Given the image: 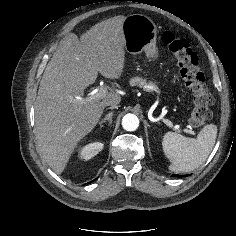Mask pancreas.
<instances>
[{
    "mask_svg": "<svg viewBox=\"0 0 236 236\" xmlns=\"http://www.w3.org/2000/svg\"><path fill=\"white\" fill-rule=\"evenodd\" d=\"M147 84L154 85L152 82H148L147 83V81L145 79L140 78V77H135V78H132L130 80V85H132V86H140V87H142V86L147 85Z\"/></svg>",
    "mask_w": 236,
    "mask_h": 236,
    "instance_id": "pancreas-1",
    "label": "pancreas"
}]
</instances>
